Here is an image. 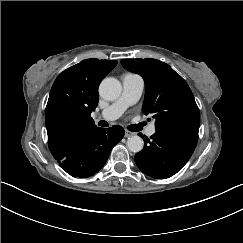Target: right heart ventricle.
<instances>
[{
  "label": "right heart ventricle",
  "mask_w": 243,
  "mask_h": 243,
  "mask_svg": "<svg viewBox=\"0 0 243 243\" xmlns=\"http://www.w3.org/2000/svg\"><path fill=\"white\" fill-rule=\"evenodd\" d=\"M124 75H126L130 78H136V79L142 78L141 76H139L138 74H135V73H124L122 76H124Z\"/></svg>",
  "instance_id": "e07e8e85"
}]
</instances>
